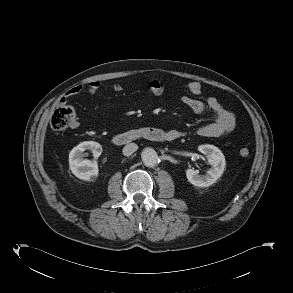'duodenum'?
I'll return each mask as SVG.
<instances>
[{
    "mask_svg": "<svg viewBox=\"0 0 293 293\" xmlns=\"http://www.w3.org/2000/svg\"><path fill=\"white\" fill-rule=\"evenodd\" d=\"M140 138L155 142L171 141L175 139V137L169 132L163 131L156 127H145L137 130L118 133L113 136L112 142L115 145L121 146L129 144Z\"/></svg>",
    "mask_w": 293,
    "mask_h": 293,
    "instance_id": "410a0bca",
    "label": "duodenum"
}]
</instances>
